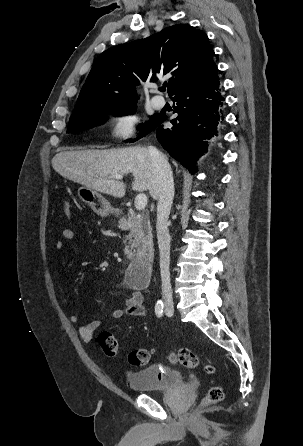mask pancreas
<instances>
[{"label": "pancreas", "instance_id": "obj_1", "mask_svg": "<svg viewBox=\"0 0 303 446\" xmlns=\"http://www.w3.org/2000/svg\"><path fill=\"white\" fill-rule=\"evenodd\" d=\"M119 228L128 230V245L125 248V255L128 259L144 256L146 252L153 251L152 227L148 214L138 215L128 214L119 220Z\"/></svg>", "mask_w": 303, "mask_h": 446}]
</instances>
